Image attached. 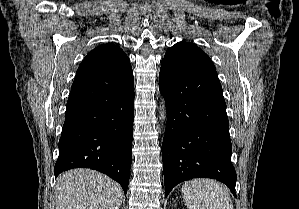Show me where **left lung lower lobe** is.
<instances>
[{
	"mask_svg": "<svg viewBox=\"0 0 299 209\" xmlns=\"http://www.w3.org/2000/svg\"><path fill=\"white\" fill-rule=\"evenodd\" d=\"M159 89L168 117L162 143L165 195L180 182L205 177L225 183L236 197L229 122L216 70L162 62Z\"/></svg>",
	"mask_w": 299,
	"mask_h": 209,
	"instance_id": "0a47b994",
	"label": "left lung lower lobe"
}]
</instances>
